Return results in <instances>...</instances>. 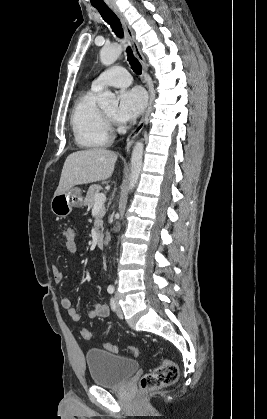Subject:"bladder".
<instances>
[{
	"instance_id": "obj_1",
	"label": "bladder",
	"mask_w": 267,
	"mask_h": 419,
	"mask_svg": "<svg viewBox=\"0 0 267 419\" xmlns=\"http://www.w3.org/2000/svg\"><path fill=\"white\" fill-rule=\"evenodd\" d=\"M86 364L92 383L105 388L123 386L139 369L137 360L97 348L87 351Z\"/></svg>"
}]
</instances>
